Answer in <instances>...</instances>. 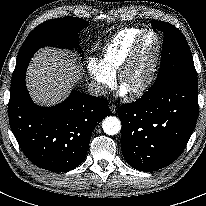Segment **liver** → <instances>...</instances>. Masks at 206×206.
<instances>
[{
    "label": "liver",
    "instance_id": "6515ba94",
    "mask_svg": "<svg viewBox=\"0 0 206 206\" xmlns=\"http://www.w3.org/2000/svg\"><path fill=\"white\" fill-rule=\"evenodd\" d=\"M27 88L40 105L65 99L70 88L82 78L75 60L62 50L42 48L32 58L26 73Z\"/></svg>",
    "mask_w": 206,
    "mask_h": 206
}]
</instances>
